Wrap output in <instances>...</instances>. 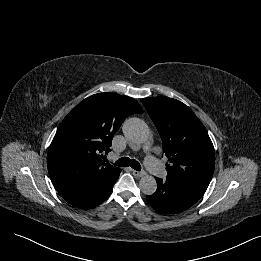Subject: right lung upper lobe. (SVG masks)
<instances>
[{
    "label": "right lung upper lobe",
    "mask_w": 261,
    "mask_h": 261,
    "mask_svg": "<svg viewBox=\"0 0 261 261\" xmlns=\"http://www.w3.org/2000/svg\"><path fill=\"white\" fill-rule=\"evenodd\" d=\"M136 113H143L136 100L106 92L84 99L64 118L50 144L47 165L65 200L90 193L120 171L101 156L110 151L126 117Z\"/></svg>",
    "instance_id": "1"
}]
</instances>
